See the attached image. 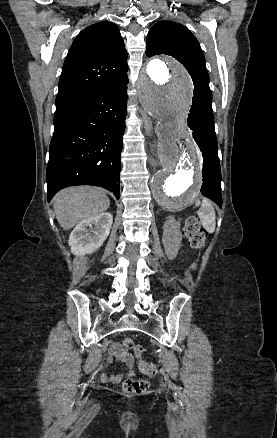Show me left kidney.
Listing matches in <instances>:
<instances>
[{
  "label": "left kidney",
  "mask_w": 277,
  "mask_h": 438,
  "mask_svg": "<svg viewBox=\"0 0 277 438\" xmlns=\"http://www.w3.org/2000/svg\"><path fill=\"white\" fill-rule=\"evenodd\" d=\"M162 242L168 260H175L181 246L182 236L180 224L174 216H168V220L164 224Z\"/></svg>",
  "instance_id": "5707ae66"
}]
</instances>
